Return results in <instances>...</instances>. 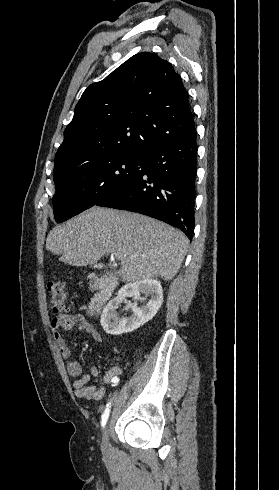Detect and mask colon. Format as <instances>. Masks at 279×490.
<instances>
[{
    "label": "colon",
    "mask_w": 279,
    "mask_h": 490,
    "mask_svg": "<svg viewBox=\"0 0 279 490\" xmlns=\"http://www.w3.org/2000/svg\"><path fill=\"white\" fill-rule=\"evenodd\" d=\"M48 292L50 295L53 310L62 314L65 312L66 293L64 283L61 281H50L48 283Z\"/></svg>",
    "instance_id": "colon-1"
}]
</instances>
